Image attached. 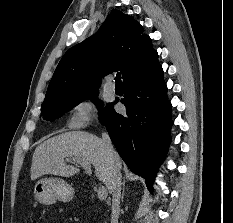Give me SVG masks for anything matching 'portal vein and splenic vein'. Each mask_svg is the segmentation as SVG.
I'll return each mask as SVG.
<instances>
[{
    "label": "portal vein and splenic vein",
    "instance_id": "18ae733b",
    "mask_svg": "<svg viewBox=\"0 0 233 223\" xmlns=\"http://www.w3.org/2000/svg\"><path fill=\"white\" fill-rule=\"evenodd\" d=\"M76 163H79V165H81V167H84V169H91L90 163H87V161H83V159H76ZM97 195L98 199H100V201H103V199H106L108 191L107 189H103V185H99Z\"/></svg>",
    "mask_w": 233,
    "mask_h": 223
}]
</instances>
